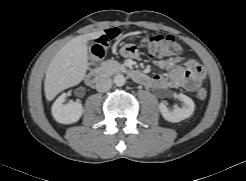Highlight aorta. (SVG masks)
<instances>
[{"label": "aorta", "mask_w": 246, "mask_h": 181, "mask_svg": "<svg viewBox=\"0 0 246 181\" xmlns=\"http://www.w3.org/2000/svg\"><path fill=\"white\" fill-rule=\"evenodd\" d=\"M114 84L118 87L124 86L126 83V78L122 74H118L114 77Z\"/></svg>", "instance_id": "762f6f07"}]
</instances>
